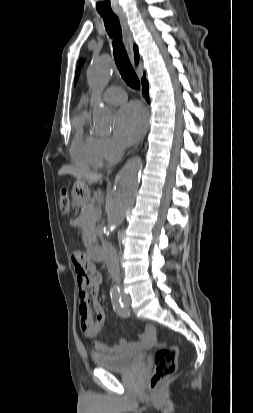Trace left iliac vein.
I'll return each mask as SVG.
<instances>
[{"instance_id": "left-iliac-vein-1", "label": "left iliac vein", "mask_w": 253, "mask_h": 413, "mask_svg": "<svg viewBox=\"0 0 253 413\" xmlns=\"http://www.w3.org/2000/svg\"><path fill=\"white\" fill-rule=\"evenodd\" d=\"M122 298H123V302H124L125 306H126V307H129V305H130V297H129L128 295H126V294H123V295H122Z\"/></svg>"}]
</instances>
